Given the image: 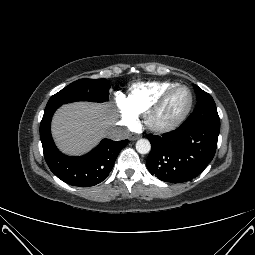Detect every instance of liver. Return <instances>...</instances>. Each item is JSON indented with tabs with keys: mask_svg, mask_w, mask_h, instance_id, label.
<instances>
[{
	"mask_svg": "<svg viewBox=\"0 0 255 255\" xmlns=\"http://www.w3.org/2000/svg\"><path fill=\"white\" fill-rule=\"evenodd\" d=\"M116 119L110 103L76 102L60 107L52 120V135L68 155H81L107 136Z\"/></svg>",
	"mask_w": 255,
	"mask_h": 255,
	"instance_id": "1",
	"label": "liver"
}]
</instances>
